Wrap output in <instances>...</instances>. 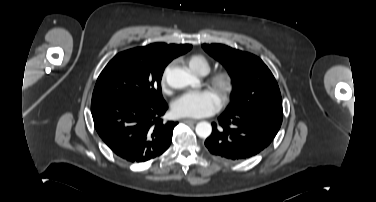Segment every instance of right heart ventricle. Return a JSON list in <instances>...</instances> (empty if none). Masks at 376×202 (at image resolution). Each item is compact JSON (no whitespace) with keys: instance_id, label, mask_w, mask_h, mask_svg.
I'll return each mask as SVG.
<instances>
[{"instance_id":"e07e8e85","label":"right heart ventricle","mask_w":376,"mask_h":202,"mask_svg":"<svg viewBox=\"0 0 376 202\" xmlns=\"http://www.w3.org/2000/svg\"><path fill=\"white\" fill-rule=\"evenodd\" d=\"M186 63L190 70L199 75H205L210 70V63L202 54L191 55L187 58Z\"/></svg>"}]
</instances>
